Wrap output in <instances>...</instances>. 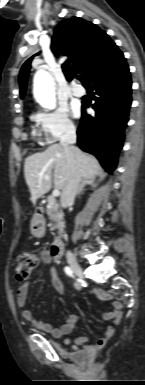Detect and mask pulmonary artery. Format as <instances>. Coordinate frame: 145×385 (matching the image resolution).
<instances>
[{
	"mask_svg": "<svg viewBox=\"0 0 145 385\" xmlns=\"http://www.w3.org/2000/svg\"><path fill=\"white\" fill-rule=\"evenodd\" d=\"M71 92L73 95H75L77 97H82L85 94V89L80 84H74L71 87Z\"/></svg>",
	"mask_w": 145,
	"mask_h": 385,
	"instance_id": "e3ab8cb5",
	"label": "pulmonary artery"
}]
</instances>
